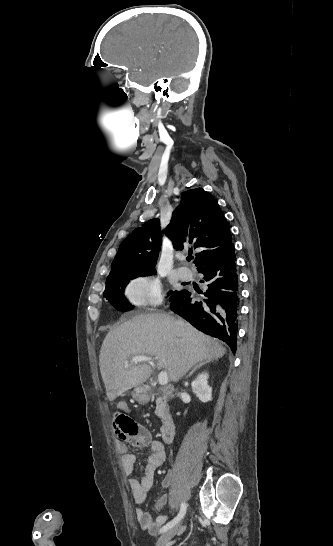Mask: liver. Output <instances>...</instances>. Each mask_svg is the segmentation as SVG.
<instances>
[{"mask_svg": "<svg viewBox=\"0 0 333 546\" xmlns=\"http://www.w3.org/2000/svg\"><path fill=\"white\" fill-rule=\"evenodd\" d=\"M163 313L141 314L109 331L99 366L109 401L143 384L151 374L147 363L125 362L132 356H154L157 368L178 381L196 363L221 358L226 349L188 323Z\"/></svg>", "mask_w": 333, "mask_h": 546, "instance_id": "6515ba94", "label": "liver"}]
</instances>
